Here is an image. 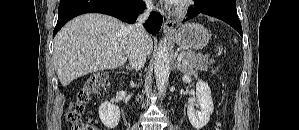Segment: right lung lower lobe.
<instances>
[{
    "instance_id": "obj_1",
    "label": "right lung lower lobe",
    "mask_w": 299,
    "mask_h": 130,
    "mask_svg": "<svg viewBox=\"0 0 299 130\" xmlns=\"http://www.w3.org/2000/svg\"><path fill=\"white\" fill-rule=\"evenodd\" d=\"M144 9L142 0H61L53 36L70 19L84 13H103L127 23H134ZM162 22L160 14L152 13L144 26L149 33L157 34Z\"/></svg>"
}]
</instances>
